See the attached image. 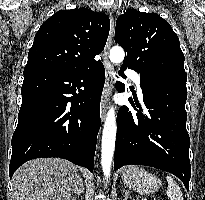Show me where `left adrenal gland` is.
Returning a JSON list of instances; mask_svg holds the SVG:
<instances>
[{
    "label": "left adrenal gland",
    "mask_w": 205,
    "mask_h": 200,
    "mask_svg": "<svg viewBox=\"0 0 205 200\" xmlns=\"http://www.w3.org/2000/svg\"><path fill=\"white\" fill-rule=\"evenodd\" d=\"M124 193H125L124 200H127L128 198L131 199V196L129 195V192L126 189H124Z\"/></svg>",
    "instance_id": "left-adrenal-gland-1"
}]
</instances>
